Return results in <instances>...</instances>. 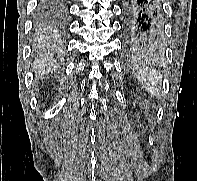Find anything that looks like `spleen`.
Instances as JSON below:
<instances>
[{
  "mask_svg": "<svg viewBox=\"0 0 197 181\" xmlns=\"http://www.w3.org/2000/svg\"><path fill=\"white\" fill-rule=\"evenodd\" d=\"M138 80L142 86L154 96L160 95L161 77L158 72L152 68H142L138 72Z\"/></svg>",
  "mask_w": 197,
  "mask_h": 181,
  "instance_id": "spleen-1",
  "label": "spleen"
}]
</instances>
